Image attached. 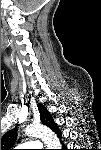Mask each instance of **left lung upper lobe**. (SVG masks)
Instances as JSON below:
<instances>
[{"mask_svg":"<svg viewBox=\"0 0 101 150\" xmlns=\"http://www.w3.org/2000/svg\"><path fill=\"white\" fill-rule=\"evenodd\" d=\"M38 110L40 113V120L42 124L49 127L56 134L60 132L56 123L53 121L51 114L47 111L46 107H44L42 104H38ZM16 138H17L16 129L6 132L1 138L2 150H11V147L15 144Z\"/></svg>","mask_w":101,"mask_h":150,"instance_id":"5c2ea615","label":"left lung upper lobe"}]
</instances>
